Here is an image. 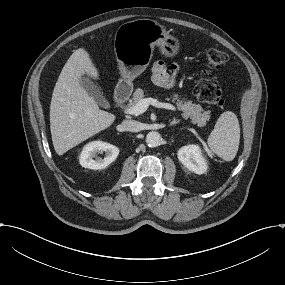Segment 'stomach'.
I'll return each instance as SVG.
<instances>
[{"mask_svg": "<svg viewBox=\"0 0 285 285\" xmlns=\"http://www.w3.org/2000/svg\"><path fill=\"white\" fill-rule=\"evenodd\" d=\"M155 46H159L162 55L174 57L180 45L162 25L151 19H137L119 26L114 51L125 82L131 83L146 69Z\"/></svg>", "mask_w": 285, "mask_h": 285, "instance_id": "obj_1", "label": "stomach"}]
</instances>
